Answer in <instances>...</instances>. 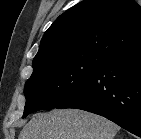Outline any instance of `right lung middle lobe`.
<instances>
[{
  "label": "right lung middle lobe",
  "mask_w": 141,
  "mask_h": 139,
  "mask_svg": "<svg viewBox=\"0 0 141 139\" xmlns=\"http://www.w3.org/2000/svg\"><path fill=\"white\" fill-rule=\"evenodd\" d=\"M106 61L99 56H83L34 68L25 84L23 118L55 108L87 84Z\"/></svg>",
  "instance_id": "dd1d6c3e"
}]
</instances>
